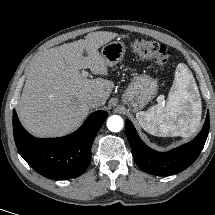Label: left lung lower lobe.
<instances>
[{"label": "left lung lower lobe", "mask_w": 215, "mask_h": 215, "mask_svg": "<svg viewBox=\"0 0 215 215\" xmlns=\"http://www.w3.org/2000/svg\"><path fill=\"white\" fill-rule=\"evenodd\" d=\"M208 132L209 112L202 130L191 142L168 152H157L139 138L131 121L126 120V135L136 163L143 171L157 176L173 175L188 168L202 151Z\"/></svg>", "instance_id": "1"}]
</instances>
